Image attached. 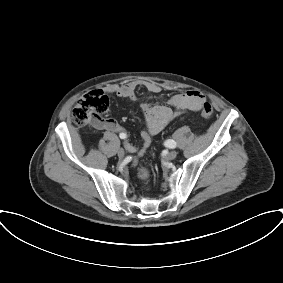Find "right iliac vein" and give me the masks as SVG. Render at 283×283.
<instances>
[{
  "instance_id": "1",
  "label": "right iliac vein",
  "mask_w": 283,
  "mask_h": 283,
  "mask_svg": "<svg viewBox=\"0 0 283 283\" xmlns=\"http://www.w3.org/2000/svg\"><path fill=\"white\" fill-rule=\"evenodd\" d=\"M117 154H118L119 158H123L125 156L124 149L119 148Z\"/></svg>"
}]
</instances>
